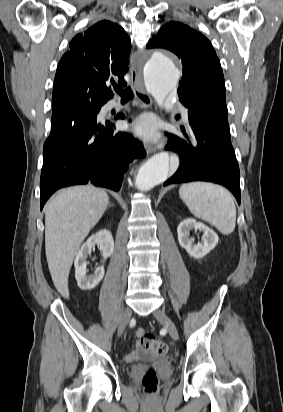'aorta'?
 <instances>
[{"instance_id": "aorta-1", "label": "aorta", "mask_w": 283, "mask_h": 412, "mask_svg": "<svg viewBox=\"0 0 283 412\" xmlns=\"http://www.w3.org/2000/svg\"><path fill=\"white\" fill-rule=\"evenodd\" d=\"M179 76V70L163 51L153 52L144 65L146 89L162 108L165 107L168 96L176 90ZM169 171L168 153H158L141 167L136 178V186L141 191H149L164 182Z\"/></svg>"}]
</instances>
